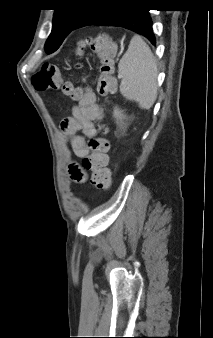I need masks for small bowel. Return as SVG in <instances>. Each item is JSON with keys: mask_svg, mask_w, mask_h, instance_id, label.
<instances>
[{"mask_svg": "<svg viewBox=\"0 0 213 338\" xmlns=\"http://www.w3.org/2000/svg\"><path fill=\"white\" fill-rule=\"evenodd\" d=\"M101 112V108L96 104L95 94L91 90H86L72 109V118L77 122L76 130L70 131L65 127L61 128L76 157L82 158L89 154L87 138L96 135L94 122L100 117ZM74 168H76L75 165L70 168L71 175L76 180L84 179L82 172L73 174L72 169Z\"/></svg>", "mask_w": 213, "mask_h": 338, "instance_id": "1", "label": "small bowel"}]
</instances>
